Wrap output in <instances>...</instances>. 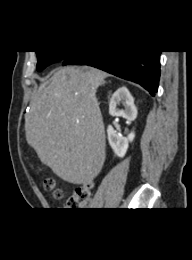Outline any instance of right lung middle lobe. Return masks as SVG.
Masks as SVG:
<instances>
[{"label": "right lung middle lobe", "instance_id": "1", "mask_svg": "<svg viewBox=\"0 0 192 260\" xmlns=\"http://www.w3.org/2000/svg\"><path fill=\"white\" fill-rule=\"evenodd\" d=\"M70 53L69 51H36L38 58L37 70L42 71L48 65L64 60Z\"/></svg>", "mask_w": 192, "mask_h": 260}]
</instances>
